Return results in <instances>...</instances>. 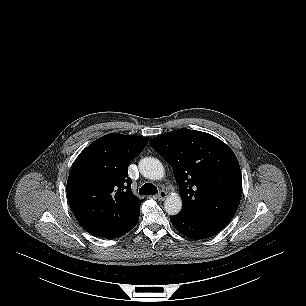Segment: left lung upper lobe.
Instances as JSON below:
<instances>
[{"mask_svg": "<svg viewBox=\"0 0 306 306\" xmlns=\"http://www.w3.org/2000/svg\"><path fill=\"white\" fill-rule=\"evenodd\" d=\"M150 144L172 167L183 206L181 213L228 223L237 211L242 179L233 151L201 131L178 129Z\"/></svg>", "mask_w": 306, "mask_h": 306, "instance_id": "left-lung-upper-lobe-1", "label": "left lung upper lobe"}]
</instances>
